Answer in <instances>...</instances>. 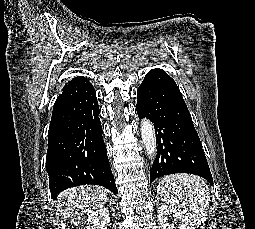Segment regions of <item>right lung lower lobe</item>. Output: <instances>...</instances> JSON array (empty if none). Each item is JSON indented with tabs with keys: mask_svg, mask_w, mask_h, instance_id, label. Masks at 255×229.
<instances>
[{
	"mask_svg": "<svg viewBox=\"0 0 255 229\" xmlns=\"http://www.w3.org/2000/svg\"><path fill=\"white\" fill-rule=\"evenodd\" d=\"M98 116L93 85L83 76L73 78L54 104L48 132L46 169L52 197L84 184L118 193Z\"/></svg>",
	"mask_w": 255,
	"mask_h": 229,
	"instance_id": "obj_1",
	"label": "right lung lower lobe"
}]
</instances>
